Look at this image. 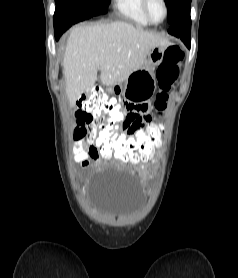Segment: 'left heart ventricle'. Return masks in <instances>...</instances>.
Listing matches in <instances>:
<instances>
[{"mask_svg": "<svg viewBox=\"0 0 238 278\" xmlns=\"http://www.w3.org/2000/svg\"><path fill=\"white\" fill-rule=\"evenodd\" d=\"M149 10L154 20H161L164 16V7L160 0H150Z\"/></svg>", "mask_w": 238, "mask_h": 278, "instance_id": "obj_1", "label": "left heart ventricle"}]
</instances>
